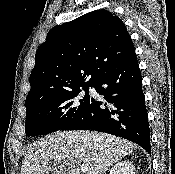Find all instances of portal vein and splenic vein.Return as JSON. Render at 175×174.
<instances>
[{
    "label": "portal vein and splenic vein",
    "instance_id": "18ae733b",
    "mask_svg": "<svg viewBox=\"0 0 175 174\" xmlns=\"http://www.w3.org/2000/svg\"><path fill=\"white\" fill-rule=\"evenodd\" d=\"M86 169H87V167H86L85 165H81V171H82L83 173L86 172Z\"/></svg>",
    "mask_w": 175,
    "mask_h": 174
}]
</instances>
